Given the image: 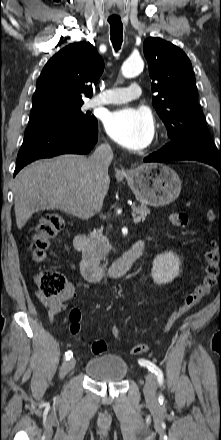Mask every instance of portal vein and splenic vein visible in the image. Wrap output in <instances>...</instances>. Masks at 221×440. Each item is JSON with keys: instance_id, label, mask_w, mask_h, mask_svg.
<instances>
[{"instance_id": "portal-vein-and-splenic-vein-1", "label": "portal vein and splenic vein", "mask_w": 221, "mask_h": 440, "mask_svg": "<svg viewBox=\"0 0 221 440\" xmlns=\"http://www.w3.org/2000/svg\"><path fill=\"white\" fill-rule=\"evenodd\" d=\"M140 221H141V217L140 216H137V217L134 218V223L135 224L139 223Z\"/></svg>"}]
</instances>
